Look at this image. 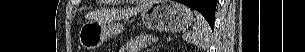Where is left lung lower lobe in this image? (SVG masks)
Listing matches in <instances>:
<instances>
[{"label": "left lung lower lobe", "mask_w": 305, "mask_h": 52, "mask_svg": "<svg viewBox=\"0 0 305 52\" xmlns=\"http://www.w3.org/2000/svg\"><path fill=\"white\" fill-rule=\"evenodd\" d=\"M177 2L188 5L203 15L205 12L215 11L218 0H177ZM210 27L213 30L214 25H210Z\"/></svg>", "instance_id": "left-lung-lower-lobe-1"}]
</instances>
